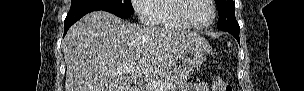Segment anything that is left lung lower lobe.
<instances>
[{"instance_id":"obj_1","label":"left lung lower lobe","mask_w":304,"mask_h":91,"mask_svg":"<svg viewBox=\"0 0 304 91\" xmlns=\"http://www.w3.org/2000/svg\"><path fill=\"white\" fill-rule=\"evenodd\" d=\"M227 32H229L230 34H232L236 38V40L239 42V32H240V30L239 31L228 30Z\"/></svg>"}]
</instances>
